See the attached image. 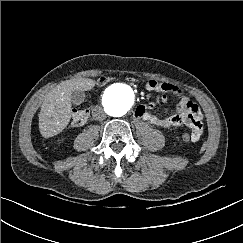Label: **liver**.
Returning a JSON list of instances; mask_svg holds the SVG:
<instances>
[{
    "instance_id": "1",
    "label": "liver",
    "mask_w": 243,
    "mask_h": 243,
    "mask_svg": "<svg viewBox=\"0 0 243 243\" xmlns=\"http://www.w3.org/2000/svg\"><path fill=\"white\" fill-rule=\"evenodd\" d=\"M85 85L83 80H67L47 94L39 113V130L44 138L55 136L66 128L71 119L72 92L82 91Z\"/></svg>"
}]
</instances>
